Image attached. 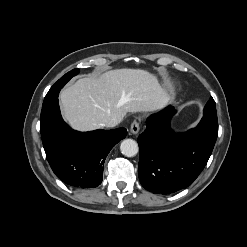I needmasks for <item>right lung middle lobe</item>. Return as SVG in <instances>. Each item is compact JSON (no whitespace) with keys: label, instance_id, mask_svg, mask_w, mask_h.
Listing matches in <instances>:
<instances>
[{"label":"right lung middle lobe","instance_id":"obj_1","mask_svg":"<svg viewBox=\"0 0 247 247\" xmlns=\"http://www.w3.org/2000/svg\"><path fill=\"white\" fill-rule=\"evenodd\" d=\"M79 73V69H73L72 71L66 73L62 76L49 90L44 98L43 106L52 100L58 98L61 88L75 75Z\"/></svg>","mask_w":247,"mask_h":247}]
</instances>
